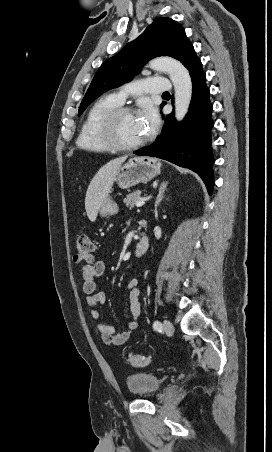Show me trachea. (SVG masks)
Returning <instances> with one entry per match:
<instances>
[{
	"label": "trachea",
	"instance_id": "trachea-1",
	"mask_svg": "<svg viewBox=\"0 0 272 452\" xmlns=\"http://www.w3.org/2000/svg\"><path fill=\"white\" fill-rule=\"evenodd\" d=\"M168 94H169V92H164V93H163V95H168Z\"/></svg>",
	"mask_w": 272,
	"mask_h": 452
}]
</instances>
